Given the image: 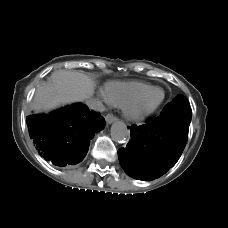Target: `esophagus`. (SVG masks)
Returning a JSON list of instances; mask_svg holds the SVG:
<instances>
[{
  "label": "esophagus",
  "instance_id": "1",
  "mask_svg": "<svg viewBox=\"0 0 228 228\" xmlns=\"http://www.w3.org/2000/svg\"><path fill=\"white\" fill-rule=\"evenodd\" d=\"M105 120H106L107 124H111L117 120V117L114 116L113 114H107L105 117Z\"/></svg>",
  "mask_w": 228,
  "mask_h": 228
}]
</instances>
